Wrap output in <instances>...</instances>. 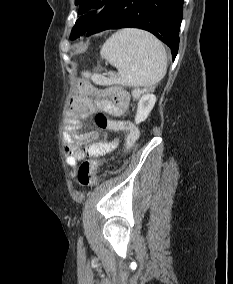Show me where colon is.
I'll list each match as a JSON object with an SVG mask.
<instances>
[{"label": "colon", "mask_w": 233, "mask_h": 284, "mask_svg": "<svg viewBox=\"0 0 233 284\" xmlns=\"http://www.w3.org/2000/svg\"><path fill=\"white\" fill-rule=\"evenodd\" d=\"M151 88V87H149ZM148 88V89H149ZM147 89H135L133 96L135 99L139 98ZM95 122L100 129L103 130H125L127 132L125 149L130 150L139 138V131L133 124H126L118 121L109 120L105 114L99 111L95 116ZM98 167L97 161H84L78 169V182L82 187H93L97 184L98 179L96 169Z\"/></svg>", "instance_id": "5ec220e1"}]
</instances>
